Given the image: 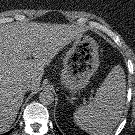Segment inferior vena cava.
I'll use <instances>...</instances> for the list:
<instances>
[{
	"instance_id": "obj_1",
	"label": "inferior vena cava",
	"mask_w": 135,
	"mask_h": 135,
	"mask_svg": "<svg viewBox=\"0 0 135 135\" xmlns=\"http://www.w3.org/2000/svg\"><path fill=\"white\" fill-rule=\"evenodd\" d=\"M25 91H29V90H32V84L30 83H27L24 87Z\"/></svg>"
}]
</instances>
